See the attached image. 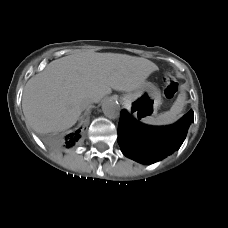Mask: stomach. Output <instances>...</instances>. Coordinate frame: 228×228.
<instances>
[{
  "mask_svg": "<svg viewBox=\"0 0 228 228\" xmlns=\"http://www.w3.org/2000/svg\"><path fill=\"white\" fill-rule=\"evenodd\" d=\"M129 100L137 107L135 116L142 121L154 117L162 103L159 89L151 82H144L129 96Z\"/></svg>",
  "mask_w": 228,
  "mask_h": 228,
  "instance_id": "obj_1",
  "label": "stomach"
}]
</instances>
